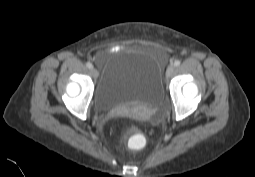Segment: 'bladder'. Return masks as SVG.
<instances>
[{"label": "bladder", "instance_id": "bladder-1", "mask_svg": "<svg viewBox=\"0 0 255 177\" xmlns=\"http://www.w3.org/2000/svg\"><path fill=\"white\" fill-rule=\"evenodd\" d=\"M165 98L160 62L146 52H123L105 69L94 96L97 112L160 105Z\"/></svg>", "mask_w": 255, "mask_h": 177}]
</instances>
